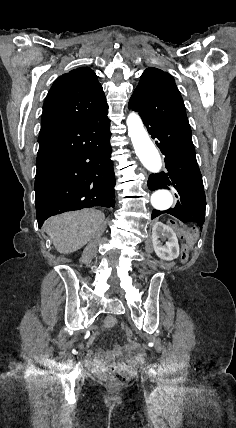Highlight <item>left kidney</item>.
<instances>
[{
  "label": "left kidney",
  "instance_id": "5707ae66",
  "mask_svg": "<svg viewBox=\"0 0 236 428\" xmlns=\"http://www.w3.org/2000/svg\"><path fill=\"white\" fill-rule=\"evenodd\" d=\"M153 248L155 254L161 260H176L179 256V244L176 238V234L172 228L165 226L162 222H157L152 228ZM161 238H167L168 242L162 244Z\"/></svg>",
  "mask_w": 236,
  "mask_h": 428
}]
</instances>
